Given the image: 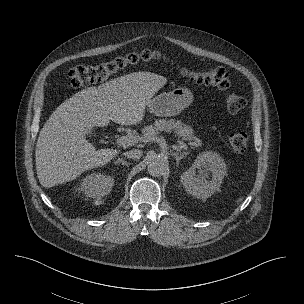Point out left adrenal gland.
I'll return each instance as SVG.
<instances>
[{"label": "left adrenal gland", "mask_w": 304, "mask_h": 304, "mask_svg": "<svg viewBox=\"0 0 304 304\" xmlns=\"http://www.w3.org/2000/svg\"><path fill=\"white\" fill-rule=\"evenodd\" d=\"M189 154V152H172V155L175 157L176 159V163L177 165H179V162L181 159H183L184 157H186Z\"/></svg>", "instance_id": "1"}]
</instances>
